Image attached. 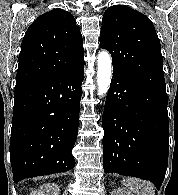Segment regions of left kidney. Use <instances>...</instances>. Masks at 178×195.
<instances>
[{"instance_id": "5707ae66", "label": "left kidney", "mask_w": 178, "mask_h": 195, "mask_svg": "<svg viewBox=\"0 0 178 195\" xmlns=\"http://www.w3.org/2000/svg\"><path fill=\"white\" fill-rule=\"evenodd\" d=\"M111 195H133L129 190L125 188H116L112 191Z\"/></svg>"}]
</instances>
